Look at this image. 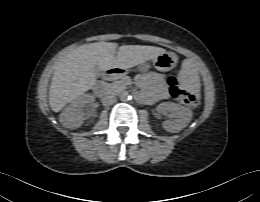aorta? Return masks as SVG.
I'll return each mask as SVG.
<instances>
[{
	"mask_svg": "<svg viewBox=\"0 0 260 202\" xmlns=\"http://www.w3.org/2000/svg\"><path fill=\"white\" fill-rule=\"evenodd\" d=\"M131 99L130 94L127 91H124L120 94V100L125 102Z\"/></svg>",
	"mask_w": 260,
	"mask_h": 202,
	"instance_id": "aorta-1",
	"label": "aorta"
}]
</instances>
